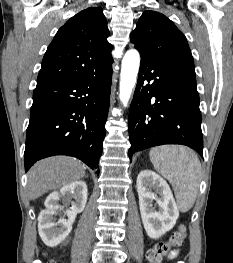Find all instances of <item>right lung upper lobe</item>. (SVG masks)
Returning <instances> with one entry per match:
<instances>
[{
  "label": "right lung upper lobe",
  "mask_w": 233,
  "mask_h": 263,
  "mask_svg": "<svg viewBox=\"0 0 233 263\" xmlns=\"http://www.w3.org/2000/svg\"><path fill=\"white\" fill-rule=\"evenodd\" d=\"M109 35L101 7L87 8L70 18L47 48L36 87L85 78L112 61Z\"/></svg>",
  "instance_id": "right-lung-upper-lobe-1"
}]
</instances>
